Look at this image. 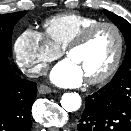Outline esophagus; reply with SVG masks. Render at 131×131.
<instances>
[{
    "label": "esophagus",
    "mask_w": 131,
    "mask_h": 131,
    "mask_svg": "<svg viewBox=\"0 0 131 131\" xmlns=\"http://www.w3.org/2000/svg\"><path fill=\"white\" fill-rule=\"evenodd\" d=\"M38 92H39L40 94H48V93L52 92V90H51L50 87H48V86H46V85H40V86L38 87Z\"/></svg>",
    "instance_id": "esophagus-1"
}]
</instances>
